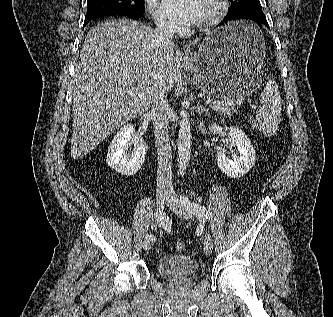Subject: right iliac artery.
<instances>
[{"label":"right iliac artery","mask_w":333,"mask_h":317,"mask_svg":"<svg viewBox=\"0 0 333 317\" xmlns=\"http://www.w3.org/2000/svg\"><path fill=\"white\" fill-rule=\"evenodd\" d=\"M156 220L158 224L164 228L168 233L171 231V222L169 220V217L166 215L165 212L161 211L160 209L156 212ZM147 240L154 241L155 236L147 234L145 237Z\"/></svg>","instance_id":"82829eb1"}]
</instances>
